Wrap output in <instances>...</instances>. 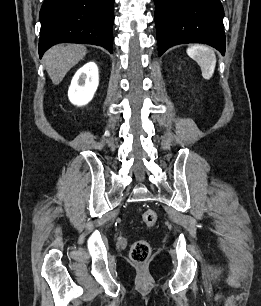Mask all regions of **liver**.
<instances>
[{
    "label": "liver",
    "instance_id": "1",
    "mask_svg": "<svg viewBox=\"0 0 261 306\" xmlns=\"http://www.w3.org/2000/svg\"><path fill=\"white\" fill-rule=\"evenodd\" d=\"M86 47L78 44L55 45L44 55V65L53 84L58 85L67 72L86 55Z\"/></svg>",
    "mask_w": 261,
    "mask_h": 306
}]
</instances>
